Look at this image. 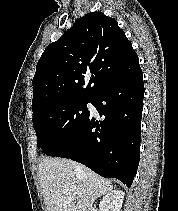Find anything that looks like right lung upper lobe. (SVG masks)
I'll return each instance as SVG.
<instances>
[{"mask_svg":"<svg viewBox=\"0 0 178 211\" xmlns=\"http://www.w3.org/2000/svg\"><path fill=\"white\" fill-rule=\"evenodd\" d=\"M138 68V56L117 21L88 13L40 57L32 81L33 115L56 102L92 99Z\"/></svg>","mask_w":178,"mask_h":211,"instance_id":"cb5924a9","label":"right lung upper lobe"}]
</instances>
